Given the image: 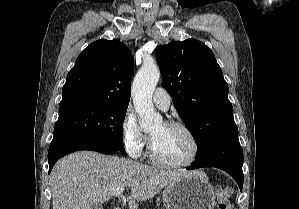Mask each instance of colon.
Listing matches in <instances>:
<instances>
[{"instance_id":"5ec220e1","label":"colon","mask_w":299,"mask_h":209,"mask_svg":"<svg viewBox=\"0 0 299 209\" xmlns=\"http://www.w3.org/2000/svg\"><path fill=\"white\" fill-rule=\"evenodd\" d=\"M231 195V190L227 187H218V208L217 209H231L229 203V197Z\"/></svg>"}]
</instances>
